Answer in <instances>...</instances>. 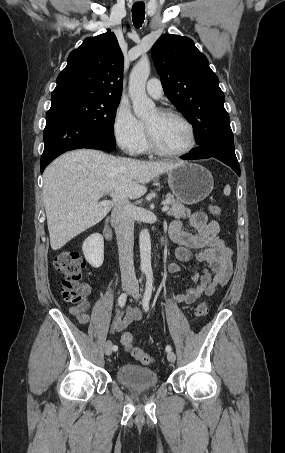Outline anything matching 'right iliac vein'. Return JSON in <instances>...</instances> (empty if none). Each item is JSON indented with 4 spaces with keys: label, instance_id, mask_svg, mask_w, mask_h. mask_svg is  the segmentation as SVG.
<instances>
[{
    "label": "right iliac vein",
    "instance_id": "right-iliac-vein-1",
    "mask_svg": "<svg viewBox=\"0 0 285 453\" xmlns=\"http://www.w3.org/2000/svg\"><path fill=\"white\" fill-rule=\"evenodd\" d=\"M122 288L124 291H128L132 288V284L130 282H123ZM104 352L107 356L112 354V342L107 341L104 345Z\"/></svg>",
    "mask_w": 285,
    "mask_h": 453
}]
</instances>
